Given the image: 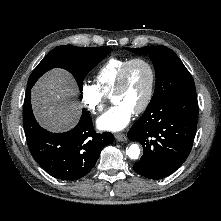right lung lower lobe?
Wrapping results in <instances>:
<instances>
[{
  "instance_id": "obj_1",
  "label": "right lung lower lobe",
  "mask_w": 221,
  "mask_h": 221,
  "mask_svg": "<svg viewBox=\"0 0 221 221\" xmlns=\"http://www.w3.org/2000/svg\"><path fill=\"white\" fill-rule=\"evenodd\" d=\"M31 87L26 90L23 126L29 150L37 163L51 176L77 180L87 175L101 150L114 141L110 132L96 133L85 109L78 124L68 132L51 133L35 120L31 108Z\"/></svg>"
}]
</instances>
